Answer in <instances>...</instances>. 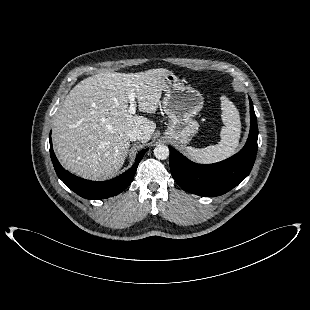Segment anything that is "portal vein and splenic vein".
Segmentation results:
<instances>
[{
    "instance_id": "obj_1",
    "label": "portal vein and splenic vein",
    "mask_w": 310,
    "mask_h": 310,
    "mask_svg": "<svg viewBox=\"0 0 310 310\" xmlns=\"http://www.w3.org/2000/svg\"><path fill=\"white\" fill-rule=\"evenodd\" d=\"M128 99H129V102H130V106H129L128 112L130 114H135V112H136V104H135V93L133 91H131L128 94Z\"/></svg>"
}]
</instances>
